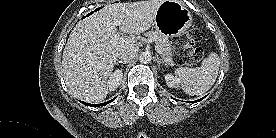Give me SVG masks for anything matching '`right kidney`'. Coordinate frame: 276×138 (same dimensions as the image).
Here are the masks:
<instances>
[{"label":"right kidney","mask_w":276,"mask_h":138,"mask_svg":"<svg viewBox=\"0 0 276 138\" xmlns=\"http://www.w3.org/2000/svg\"><path fill=\"white\" fill-rule=\"evenodd\" d=\"M123 78L122 70H115L108 80V89L110 91H114L118 88V86L121 84Z\"/></svg>","instance_id":"obj_1"}]
</instances>
